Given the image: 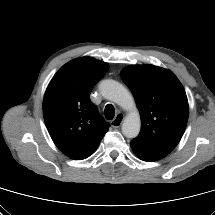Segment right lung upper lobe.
I'll use <instances>...</instances> for the list:
<instances>
[{
    "instance_id": "cb5924a9",
    "label": "right lung upper lobe",
    "mask_w": 215,
    "mask_h": 215,
    "mask_svg": "<svg viewBox=\"0 0 215 215\" xmlns=\"http://www.w3.org/2000/svg\"><path fill=\"white\" fill-rule=\"evenodd\" d=\"M107 63L91 57L74 59L54 75L43 100V115L55 145L68 157L82 160L98 147L108 131L90 102L94 85L104 76Z\"/></svg>"
}]
</instances>
